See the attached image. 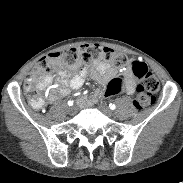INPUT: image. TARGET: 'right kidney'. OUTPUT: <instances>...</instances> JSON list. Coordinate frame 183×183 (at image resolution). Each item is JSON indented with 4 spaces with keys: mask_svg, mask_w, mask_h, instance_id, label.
<instances>
[{
    "mask_svg": "<svg viewBox=\"0 0 183 183\" xmlns=\"http://www.w3.org/2000/svg\"><path fill=\"white\" fill-rule=\"evenodd\" d=\"M52 77L51 76H46L41 82H38L36 84V89L38 91H42L46 88V86L50 83Z\"/></svg>",
    "mask_w": 183,
    "mask_h": 183,
    "instance_id": "right-kidney-1",
    "label": "right kidney"
}]
</instances>
